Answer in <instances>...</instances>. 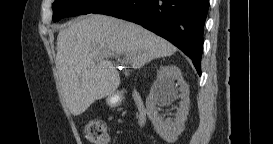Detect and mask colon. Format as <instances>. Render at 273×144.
<instances>
[{"label": "colon", "instance_id": "colon-1", "mask_svg": "<svg viewBox=\"0 0 273 144\" xmlns=\"http://www.w3.org/2000/svg\"><path fill=\"white\" fill-rule=\"evenodd\" d=\"M86 139L93 144H107L110 140L106 124L102 120L89 121L84 129Z\"/></svg>", "mask_w": 273, "mask_h": 144}]
</instances>
